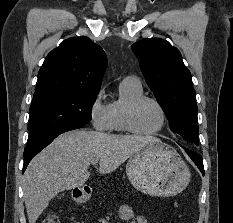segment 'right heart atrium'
<instances>
[{
	"label": "right heart atrium",
	"instance_id": "obj_1",
	"mask_svg": "<svg viewBox=\"0 0 233 223\" xmlns=\"http://www.w3.org/2000/svg\"><path fill=\"white\" fill-rule=\"evenodd\" d=\"M104 89H101L89 108V117L94 128L97 130L110 129V108L103 100Z\"/></svg>",
	"mask_w": 233,
	"mask_h": 223
}]
</instances>
